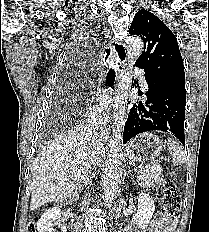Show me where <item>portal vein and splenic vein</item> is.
Masks as SVG:
<instances>
[{"label": "portal vein and splenic vein", "mask_w": 209, "mask_h": 232, "mask_svg": "<svg viewBox=\"0 0 209 232\" xmlns=\"http://www.w3.org/2000/svg\"><path fill=\"white\" fill-rule=\"evenodd\" d=\"M156 167H157V164L153 163L151 166H148L147 168H149V169H155ZM140 168H143V167H140Z\"/></svg>", "instance_id": "18ae733b"}]
</instances>
